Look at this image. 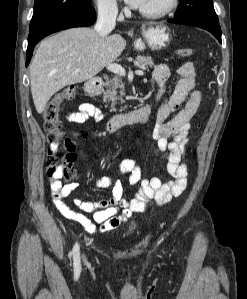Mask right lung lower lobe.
<instances>
[{
  "instance_id": "98d812e1",
  "label": "right lung lower lobe",
  "mask_w": 247,
  "mask_h": 299,
  "mask_svg": "<svg viewBox=\"0 0 247 299\" xmlns=\"http://www.w3.org/2000/svg\"><path fill=\"white\" fill-rule=\"evenodd\" d=\"M94 22L95 10L92 6H88L66 11L30 29L26 52V66L30 62L35 45L44 37L67 28L89 26Z\"/></svg>"
}]
</instances>
